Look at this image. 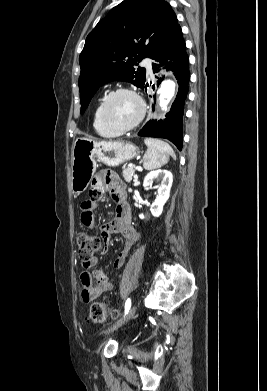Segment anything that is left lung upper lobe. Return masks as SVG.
Wrapping results in <instances>:
<instances>
[{"label":"left lung upper lobe","instance_id":"5c2ea615","mask_svg":"<svg viewBox=\"0 0 267 391\" xmlns=\"http://www.w3.org/2000/svg\"><path fill=\"white\" fill-rule=\"evenodd\" d=\"M178 26L164 0H124L111 9L89 33L79 57L81 114L100 86L118 80L142 88L145 68H135L150 57Z\"/></svg>","mask_w":267,"mask_h":391}]
</instances>
